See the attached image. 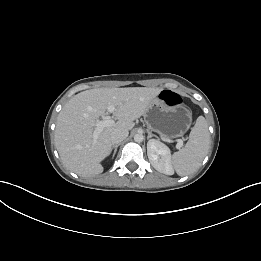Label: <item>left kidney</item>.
<instances>
[{
  "label": "left kidney",
  "instance_id": "left-kidney-1",
  "mask_svg": "<svg viewBox=\"0 0 261 261\" xmlns=\"http://www.w3.org/2000/svg\"><path fill=\"white\" fill-rule=\"evenodd\" d=\"M147 155L151 165L159 172L172 175L170 149L162 142L151 139L147 143Z\"/></svg>",
  "mask_w": 261,
  "mask_h": 261
}]
</instances>
